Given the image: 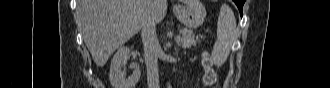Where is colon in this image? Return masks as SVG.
I'll use <instances>...</instances> for the list:
<instances>
[{
    "label": "colon",
    "instance_id": "colon-1",
    "mask_svg": "<svg viewBox=\"0 0 330 88\" xmlns=\"http://www.w3.org/2000/svg\"><path fill=\"white\" fill-rule=\"evenodd\" d=\"M203 66H204V82L207 85H211L215 81V73L213 69L211 68V65L207 59L203 61Z\"/></svg>",
    "mask_w": 330,
    "mask_h": 88
}]
</instances>
